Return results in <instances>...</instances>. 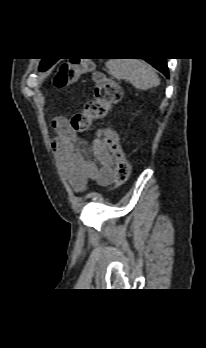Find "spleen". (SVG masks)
Here are the masks:
<instances>
[{
	"label": "spleen",
	"mask_w": 206,
	"mask_h": 348,
	"mask_svg": "<svg viewBox=\"0 0 206 348\" xmlns=\"http://www.w3.org/2000/svg\"><path fill=\"white\" fill-rule=\"evenodd\" d=\"M106 67L116 79H126L140 90H148L160 84L154 68L143 60L111 59L106 63Z\"/></svg>",
	"instance_id": "spleen-1"
}]
</instances>
